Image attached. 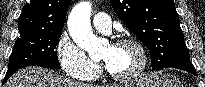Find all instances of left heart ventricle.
Masks as SVG:
<instances>
[{"mask_svg": "<svg viewBox=\"0 0 205 87\" xmlns=\"http://www.w3.org/2000/svg\"><path fill=\"white\" fill-rule=\"evenodd\" d=\"M106 68L118 75L132 72L140 63L138 51L132 46H107L100 55Z\"/></svg>", "mask_w": 205, "mask_h": 87, "instance_id": "1", "label": "left heart ventricle"}]
</instances>
